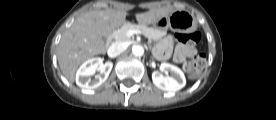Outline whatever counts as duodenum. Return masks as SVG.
Here are the masks:
<instances>
[{
  "mask_svg": "<svg viewBox=\"0 0 276 120\" xmlns=\"http://www.w3.org/2000/svg\"><path fill=\"white\" fill-rule=\"evenodd\" d=\"M112 40H113V33L110 32L106 37V41H107V43H111Z\"/></svg>",
  "mask_w": 276,
  "mask_h": 120,
  "instance_id": "obj_1",
  "label": "duodenum"
}]
</instances>
